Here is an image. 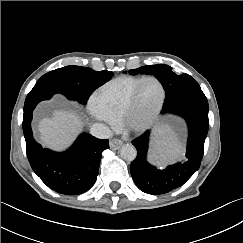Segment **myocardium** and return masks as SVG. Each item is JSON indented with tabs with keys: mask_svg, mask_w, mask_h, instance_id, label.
Wrapping results in <instances>:
<instances>
[{
	"mask_svg": "<svg viewBox=\"0 0 243 243\" xmlns=\"http://www.w3.org/2000/svg\"><path fill=\"white\" fill-rule=\"evenodd\" d=\"M149 81H154L159 85L161 90L159 101L156 104V106L147 115H145L140 121H133L132 111L134 105L136 103V100L138 98V95L142 87L144 86V84H146ZM165 100H166V90L163 83L156 77H146L136 86V88L132 91V93L128 97L121 111V115H120L121 124L126 129L137 133L148 130L154 124L159 114L161 113Z\"/></svg>",
	"mask_w": 243,
	"mask_h": 243,
	"instance_id": "myocardium-1",
	"label": "myocardium"
}]
</instances>
